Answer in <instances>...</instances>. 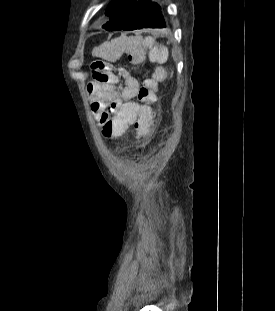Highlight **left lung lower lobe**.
Returning a JSON list of instances; mask_svg holds the SVG:
<instances>
[{
  "label": "left lung lower lobe",
  "mask_w": 275,
  "mask_h": 311,
  "mask_svg": "<svg viewBox=\"0 0 275 311\" xmlns=\"http://www.w3.org/2000/svg\"><path fill=\"white\" fill-rule=\"evenodd\" d=\"M166 27L160 6L147 0L139 9L133 21L123 30L132 31L143 28H164Z\"/></svg>",
  "instance_id": "obj_1"
}]
</instances>
